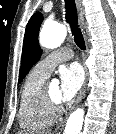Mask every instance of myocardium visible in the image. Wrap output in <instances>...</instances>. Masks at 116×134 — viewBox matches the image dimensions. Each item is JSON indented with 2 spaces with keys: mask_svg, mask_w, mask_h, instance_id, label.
<instances>
[{
  "mask_svg": "<svg viewBox=\"0 0 116 134\" xmlns=\"http://www.w3.org/2000/svg\"><path fill=\"white\" fill-rule=\"evenodd\" d=\"M42 95H43V100H44L46 106L48 107V109L51 112H53L55 114L61 112V104H60V102L59 101H55V100H53L51 98V96L48 93V89H47L46 86L43 88Z\"/></svg>",
  "mask_w": 116,
  "mask_h": 134,
  "instance_id": "f54148a6",
  "label": "myocardium"
}]
</instances>
